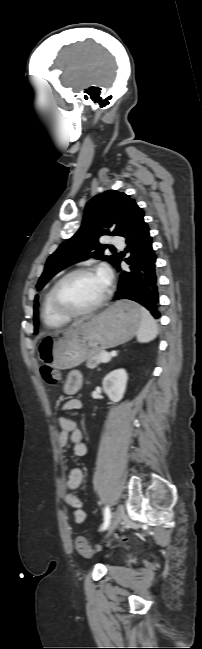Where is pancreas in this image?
<instances>
[{"label":"pancreas","instance_id":"pancreas-1","mask_svg":"<svg viewBox=\"0 0 202 649\" xmlns=\"http://www.w3.org/2000/svg\"><path fill=\"white\" fill-rule=\"evenodd\" d=\"M102 353H107V352L104 351V350L97 352L91 358H89L87 360L86 366L88 368H91V369L97 367V365L102 362L101 359H100V356H101Z\"/></svg>","mask_w":202,"mask_h":649}]
</instances>
